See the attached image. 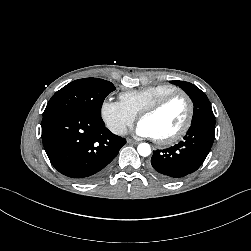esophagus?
<instances>
[{"instance_id": "34e87169", "label": "esophagus", "mask_w": 251, "mask_h": 251, "mask_svg": "<svg viewBox=\"0 0 251 251\" xmlns=\"http://www.w3.org/2000/svg\"><path fill=\"white\" fill-rule=\"evenodd\" d=\"M127 143L136 145V144L139 143V141H137V140H132V139H127Z\"/></svg>"}]
</instances>
